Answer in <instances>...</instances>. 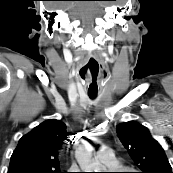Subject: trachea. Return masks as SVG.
<instances>
[{"label": "trachea", "instance_id": "3493384b", "mask_svg": "<svg viewBox=\"0 0 173 173\" xmlns=\"http://www.w3.org/2000/svg\"><path fill=\"white\" fill-rule=\"evenodd\" d=\"M89 97L93 99V98L96 97V94H91V93H89Z\"/></svg>", "mask_w": 173, "mask_h": 173}]
</instances>
